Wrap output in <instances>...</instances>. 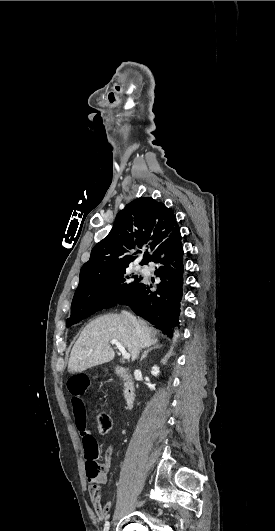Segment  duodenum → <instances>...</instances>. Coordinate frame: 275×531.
Wrapping results in <instances>:
<instances>
[{"instance_id": "obj_1", "label": "duodenum", "mask_w": 275, "mask_h": 531, "mask_svg": "<svg viewBox=\"0 0 275 531\" xmlns=\"http://www.w3.org/2000/svg\"><path fill=\"white\" fill-rule=\"evenodd\" d=\"M115 372L119 377L123 379V396L127 409H132L135 398H136V388L134 381L131 378V371L126 366H116Z\"/></svg>"}]
</instances>
